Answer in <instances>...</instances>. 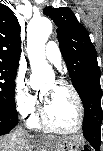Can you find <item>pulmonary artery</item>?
<instances>
[{"label":"pulmonary artery","mask_w":103,"mask_h":151,"mask_svg":"<svg viewBox=\"0 0 103 151\" xmlns=\"http://www.w3.org/2000/svg\"><path fill=\"white\" fill-rule=\"evenodd\" d=\"M45 56L46 58L55 64L56 66L60 67L62 63V55L59 49V46L54 41H49L45 48Z\"/></svg>","instance_id":"e3ab8cb5"}]
</instances>
